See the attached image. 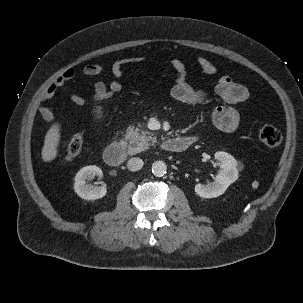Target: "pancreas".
I'll list each match as a JSON object with an SVG mask.
<instances>
[{"mask_svg": "<svg viewBox=\"0 0 303 303\" xmlns=\"http://www.w3.org/2000/svg\"><path fill=\"white\" fill-rule=\"evenodd\" d=\"M125 140L129 142L128 153L133 155L148 149L150 145H154L156 137L152 132L131 127L126 131Z\"/></svg>", "mask_w": 303, "mask_h": 303, "instance_id": "1", "label": "pancreas"}]
</instances>
